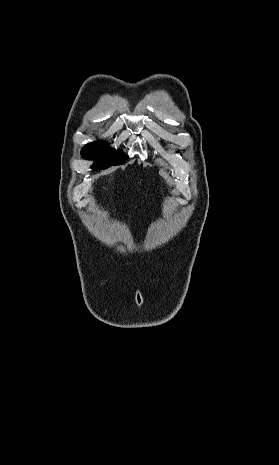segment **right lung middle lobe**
<instances>
[{
  "mask_svg": "<svg viewBox=\"0 0 279 465\" xmlns=\"http://www.w3.org/2000/svg\"><path fill=\"white\" fill-rule=\"evenodd\" d=\"M81 154L84 159L95 161L92 166L94 170L106 169L112 165L122 164L128 158V156L111 149L103 142H93L85 145Z\"/></svg>",
  "mask_w": 279,
  "mask_h": 465,
  "instance_id": "dd1d6c3e",
  "label": "right lung middle lobe"
}]
</instances>
